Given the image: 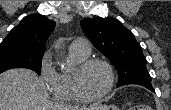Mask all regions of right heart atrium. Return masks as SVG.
Instances as JSON below:
<instances>
[{"instance_id":"obj_1","label":"right heart atrium","mask_w":171,"mask_h":110,"mask_svg":"<svg viewBox=\"0 0 171 110\" xmlns=\"http://www.w3.org/2000/svg\"><path fill=\"white\" fill-rule=\"evenodd\" d=\"M39 76L43 84L49 89L57 79L58 72L52 65L49 53H45L41 59Z\"/></svg>"}]
</instances>
